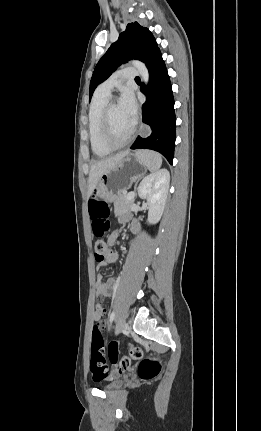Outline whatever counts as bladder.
<instances>
[{
  "label": "bladder",
  "mask_w": 261,
  "mask_h": 431,
  "mask_svg": "<svg viewBox=\"0 0 261 431\" xmlns=\"http://www.w3.org/2000/svg\"><path fill=\"white\" fill-rule=\"evenodd\" d=\"M123 380L120 376H115L113 377V379L109 380L104 386L103 388L105 390H111V389H115L118 388L122 385Z\"/></svg>",
  "instance_id": "31cf9c89"
}]
</instances>
